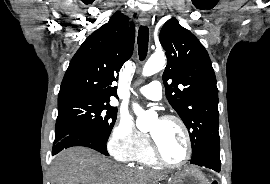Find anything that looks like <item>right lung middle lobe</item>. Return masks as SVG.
I'll list each match as a JSON object with an SVG mask.
<instances>
[{"mask_svg":"<svg viewBox=\"0 0 270 184\" xmlns=\"http://www.w3.org/2000/svg\"><path fill=\"white\" fill-rule=\"evenodd\" d=\"M117 118L108 101L85 96L58 98L56 129L79 128L107 141Z\"/></svg>","mask_w":270,"mask_h":184,"instance_id":"obj_1","label":"right lung middle lobe"}]
</instances>
